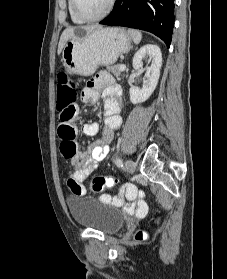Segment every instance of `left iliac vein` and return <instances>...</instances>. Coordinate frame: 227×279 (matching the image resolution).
I'll return each mask as SVG.
<instances>
[{"instance_id":"obj_1","label":"left iliac vein","mask_w":227,"mask_h":279,"mask_svg":"<svg viewBox=\"0 0 227 279\" xmlns=\"http://www.w3.org/2000/svg\"><path fill=\"white\" fill-rule=\"evenodd\" d=\"M125 167L128 173H133L136 169V164L133 160L127 159L125 161Z\"/></svg>"}]
</instances>
